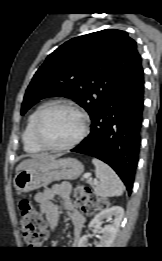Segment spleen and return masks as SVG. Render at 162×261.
<instances>
[{"label":"spleen","instance_id":"obj_1","mask_svg":"<svg viewBox=\"0 0 162 261\" xmlns=\"http://www.w3.org/2000/svg\"><path fill=\"white\" fill-rule=\"evenodd\" d=\"M92 163L96 168V177L99 179V182L94 185V193L104 198L122 195L124 185L115 171L96 158L92 159Z\"/></svg>","mask_w":162,"mask_h":261}]
</instances>
